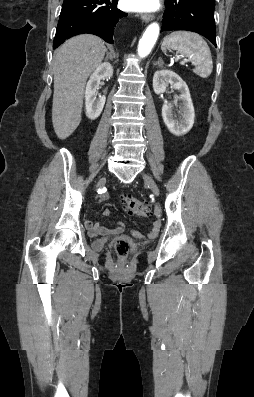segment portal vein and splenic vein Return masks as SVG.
Segmentation results:
<instances>
[{
    "label": "portal vein and splenic vein",
    "instance_id": "18ae733b",
    "mask_svg": "<svg viewBox=\"0 0 254 397\" xmlns=\"http://www.w3.org/2000/svg\"><path fill=\"white\" fill-rule=\"evenodd\" d=\"M186 63V61H181L180 64L184 65Z\"/></svg>",
    "mask_w": 254,
    "mask_h": 397
}]
</instances>
